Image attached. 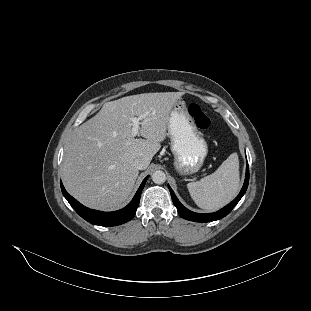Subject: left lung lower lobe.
<instances>
[{"label": "left lung lower lobe", "instance_id": "0a47b994", "mask_svg": "<svg viewBox=\"0 0 311 311\" xmlns=\"http://www.w3.org/2000/svg\"><path fill=\"white\" fill-rule=\"evenodd\" d=\"M248 183H249V167L247 164L244 185L240 193L238 194V196L230 204H228L221 210L214 212V213H209V214H199V213H195V212L188 210L179 202V200L177 199L176 195L174 194L170 186L168 187L171 193L173 203L176 206L177 211L182 218L190 220V221H195V222H211V221L221 219L231 212V210L236 206V204L240 201V199L245 194L247 187H248Z\"/></svg>", "mask_w": 311, "mask_h": 311}]
</instances>
